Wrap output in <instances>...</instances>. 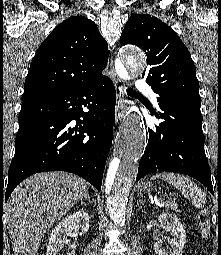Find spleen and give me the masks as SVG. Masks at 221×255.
Here are the masks:
<instances>
[{
	"label": "spleen",
	"instance_id": "3e777b00",
	"mask_svg": "<svg viewBox=\"0 0 221 255\" xmlns=\"http://www.w3.org/2000/svg\"><path fill=\"white\" fill-rule=\"evenodd\" d=\"M160 178L177 188L181 194L192 201L196 208H202L206 203V196L202 190L185 176L175 173H160L152 176V180Z\"/></svg>",
	"mask_w": 221,
	"mask_h": 255
}]
</instances>
